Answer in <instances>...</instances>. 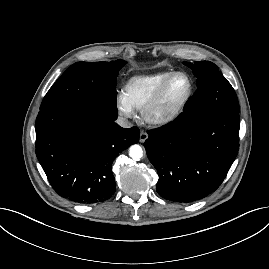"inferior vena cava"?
I'll return each instance as SVG.
<instances>
[{"mask_svg": "<svg viewBox=\"0 0 269 269\" xmlns=\"http://www.w3.org/2000/svg\"><path fill=\"white\" fill-rule=\"evenodd\" d=\"M117 124L123 128H130L132 126L131 122H129L126 118L118 117Z\"/></svg>", "mask_w": 269, "mask_h": 269, "instance_id": "inferior-vena-cava-1", "label": "inferior vena cava"}]
</instances>
